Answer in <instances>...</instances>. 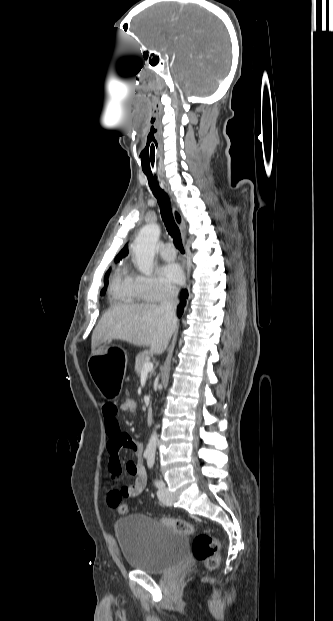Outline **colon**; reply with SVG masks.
Wrapping results in <instances>:
<instances>
[{
    "instance_id": "5ec220e1",
    "label": "colon",
    "mask_w": 333,
    "mask_h": 621,
    "mask_svg": "<svg viewBox=\"0 0 333 621\" xmlns=\"http://www.w3.org/2000/svg\"><path fill=\"white\" fill-rule=\"evenodd\" d=\"M120 407L125 413H135L138 409L135 396L133 394L122 396ZM116 509L120 513H125L127 506L121 502ZM162 522L184 534L193 535L195 533L194 526L184 519L166 517L162 519ZM192 550L196 560L201 562L206 569L213 570L218 567L221 543L217 538L204 533L198 534L194 538Z\"/></svg>"
}]
</instances>
